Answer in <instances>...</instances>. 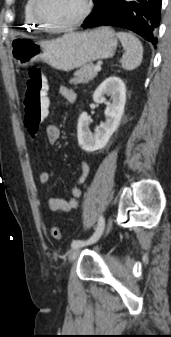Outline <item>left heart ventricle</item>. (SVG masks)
Segmentation results:
<instances>
[{"label": "left heart ventricle", "instance_id": "1", "mask_svg": "<svg viewBox=\"0 0 171 337\" xmlns=\"http://www.w3.org/2000/svg\"><path fill=\"white\" fill-rule=\"evenodd\" d=\"M84 8V0H43L41 12L52 24H64L77 18Z\"/></svg>", "mask_w": 171, "mask_h": 337}]
</instances>
